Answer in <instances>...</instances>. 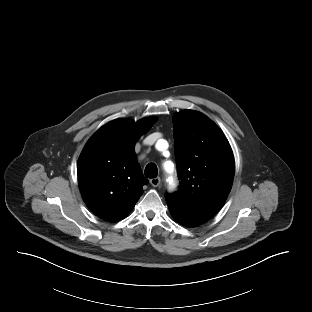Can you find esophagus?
<instances>
[{
  "instance_id": "34e87169",
  "label": "esophagus",
  "mask_w": 312,
  "mask_h": 312,
  "mask_svg": "<svg viewBox=\"0 0 312 312\" xmlns=\"http://www.w3.org/2000/svg\"><path fill=\"white\" fill-rule=\"evenodd\" d=\"M160 182H161V180H160L159 177L150 179V184H151L153 187H157V186L160 184Z\"/></svg>"
}]
</instances>
